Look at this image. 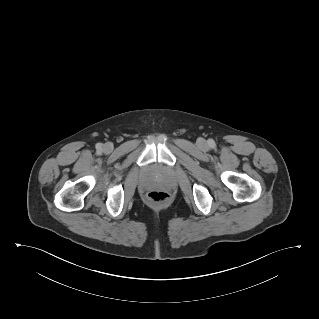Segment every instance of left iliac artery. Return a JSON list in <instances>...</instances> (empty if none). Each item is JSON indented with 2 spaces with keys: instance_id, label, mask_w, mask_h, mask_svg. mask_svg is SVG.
I'll list each match as a JSON object with an SVG mask.
<instances>
[{
  "instance_id": "44dca946",
  "label": "left iliac artery",
  "mask_w": 319,
  "mask_h": 319,
  "mask_svg": "<svg viewBox=\"0 0 319 319\" xmlns=\"http://www.w3.org/2000/svg\"><path fill=\"white\" fill-rule=\"evenodd\" d=\"M209 145H210V146H214V145H215L214 140H209Z\"/></svg>"
}]
</instances>
